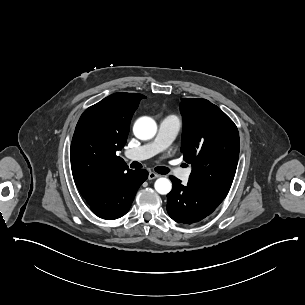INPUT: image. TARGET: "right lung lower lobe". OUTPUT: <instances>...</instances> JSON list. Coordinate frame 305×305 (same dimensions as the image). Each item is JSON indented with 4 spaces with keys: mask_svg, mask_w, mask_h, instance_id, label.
Listing matches in <instances>:
<instances>
[{
    "mask_svg": "<svg viewBox=\"0 0 305 305\" xmlns=\"http://www.w3.org/2000/svg\"><path fill=\"white\" fill-rule=\"evenodd\" d=\"M147 177L148 172L144 169H129L84 198L98 217L107 220L117 219L128 212L138 188Z\"/></svg>",
    "mask_w": 305,
    "mask_h": 305,
    "instance_id": "1",
    "label": "right lung lower lobe"
}]
</instances>
